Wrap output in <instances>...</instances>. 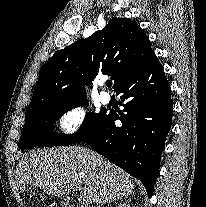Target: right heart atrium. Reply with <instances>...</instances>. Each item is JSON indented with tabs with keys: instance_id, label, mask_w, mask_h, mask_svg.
<instances>
[{
	"instance_id": "right-heart-atrium-1",
	"label": "right heart atrium",
	"mask_w": 206,
	"mask_h": 207,
	"mask_svg": "<svg viewBox=\"0 0 206 207\" xmlns=\"http://www.w3.org/2000/svg\"><path fill=\"white\" fill-rule=\"evenodd\" d=\"M87 116V110L82 104H74L59 115L58 128L62 134L74 135L83 128Z\"/></svg>"
}]
</instances>
